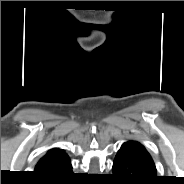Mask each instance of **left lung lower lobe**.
<instances>
[{"label":"left lung lower lobe","mask_w":184,"mask_h":184,"mask_svg":"<svg viewBox=\"0 0 184 184\" xmlns=\"http://www.w3.org/2000/svg\"><path fill=\"white\" fill-rule=\"evenodd\" d=\"M113 176L126 184H154L158 177L154 162L143 145L129 141L119 149L112 167Z\"/></svg>","instance_id":"1"}]
</instances>
